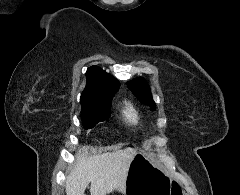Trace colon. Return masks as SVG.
I'll use <instances>...</instances> for the list:
<instances>
[{"label":"colon","instance_id":"1","mask_svg":"<svg viewBox=\"0 0 240 195\" xmlns=\"http://www.w3.org/2000/svg\"><path fill=\"white\" fill-rule=\"evenodd\" d=\"M174 195H181V192H174Z\"/></svg>","mask_w":240,"mask_h":195}]
</instances>
